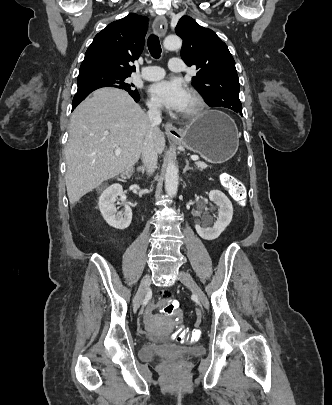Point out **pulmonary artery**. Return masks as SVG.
I'll use <instances>...</instances> for the list:
<instances>
[{"label": "pulmonary artery", "instance_id": "pulmonary-artery-1", "mask_svg": "<svg viewBox=\"0 0 332 405\" xmlns=\"http://www.w3.org/2000/svg\"><path fill=\"white\" fill-rule=\"evenodd\" d=\"M169 68L172 72H182L184 70L183 61L180 58H171L169 61ZM165 71L159 66L144 67L140 76L148 81H155L163 78Z\"/></svg>", "mask_w": 332, "mask_h": 405}]
</instances>
